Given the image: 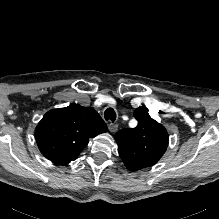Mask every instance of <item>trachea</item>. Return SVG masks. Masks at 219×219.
<instances>
[{"mask_svg":"<svg viewBox=\"0 0 219 219\" xmlns=\"http://www.w3.org/2000/svg\"><path fill=\"white\" fill-rule=\"evenodd\" d=\"M105 120H110L111 122H114L116 120V112L113 108H107L104 112Z\"/></svg>","mask_w":219,"mask_h":219,"instance_id":"1","label":"trachea"}]
</instances>
